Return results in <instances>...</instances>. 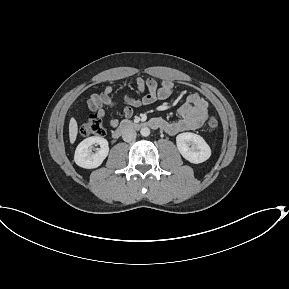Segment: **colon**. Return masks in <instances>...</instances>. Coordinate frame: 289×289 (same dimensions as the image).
<instances>
[{
  "label": "colon",
  "instance_id": "1",
  "mask_svg": "<svg viewBox=\"0 0 289 289\" xmlns=\"http://www.w3.org/2000/svg\"><path fill=\"white\" fill-rule=\"evenodd\" d=\"M207 131L214 133L218 128V120L215 117L208 119L206 124ZM80 133L83 136H101L104 134V128L101 119L97 115L91 116L81 127Z\"/></svg>",
  "mask_w": 289,
  "mask_h": 289
}]
</instances>
